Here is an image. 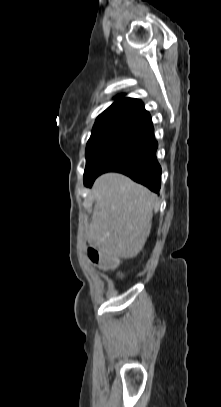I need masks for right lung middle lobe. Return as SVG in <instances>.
Segmentation results:
<instances>
[{
	"mask_svg": "<svg viewBox=\"0 0 221 407\" xmlns=\"http://www.w3.org/2000/svg\"><path fill=\"white\" fill-rule=\"evenodd\" d=\"M138 129L126 126L92 132L86 146L84 182L95 175L120 145Z\"/></svg>",
	"mask_w": 221,
	"mask_h": 407,
	"instance_id": "dd1d6c3e",
	"label": "right lung middle lobe"
}]
</instances>
